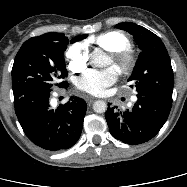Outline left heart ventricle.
<instances>
[{
	"instance_id": "obj_1",
	"label": "left heart ventricle",
	"mask_w": 187,
	"mask_h": 187,
	"mask_svg": "<svg viewBox=\"0 0 187 187\" xmlns=\"http://www.w3.org/2000/svg\"><path fill=\"white\" fill-rule=\"evenodd\" d=\"M108 64H109V65H114V62H113L112 58L109 59Z\"/></svg>"
}]
</instances>
